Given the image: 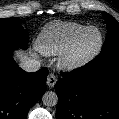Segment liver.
Listing matches in <instances>:
<instances>
[{
	"mask_svg": "<svg viewBox=\"0 0 119 119\" xmlns=\"http://www.w3.org/2000/svg\"><path fill=\"white\" fill-rule=\"evenodd\" d=\"M14 58L22 63L23 61L27 60L28 55H27V53L23 52L22 50H15Z\"/></svg>",
	"mask_w": 119,
	"mask_h": 119,
	"instance_id": "obj_1",
	"label": "liver"
}]
</instances>
